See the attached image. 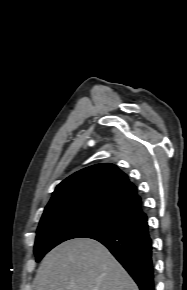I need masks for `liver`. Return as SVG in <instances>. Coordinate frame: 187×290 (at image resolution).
Listing matches in <instances>:
<instances>
[{
    "label": "liver",
    "instance_id": "1",
    "mask_svg": "<svg viewBox=\"0 0 187 290\" xmlns=\"http://www.w3.org/2000/svg\"><path fill=\"white\" fill-rule=\"evenodd\" d=\"M34 290H139L109 250L76 238L52 249L34 279Z\"/></svg>",
    "mask_w": 187,
    "mask_h": 290
}]
</instances>
